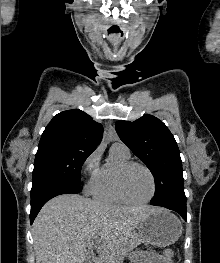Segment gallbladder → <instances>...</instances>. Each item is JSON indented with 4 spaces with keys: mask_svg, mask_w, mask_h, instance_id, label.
I'll list each match as a JSON object with an SVG mask.
<instances>
[{
    "mask_svg": "<svg viewBox=\"0 0 220 263\" xmlns=\"http://www.w3.org/2000/svg\"><path fill=\"white\" fill-rule=\"evenodd\" d=\"M86 263H90V261H89V260H86Z\"/></svg>",
    "mask_w": 220,
    "mask_h": 263,
    "instance_id": "bac80fb5",
    "label": "gallbladder"
}]
</instances>
